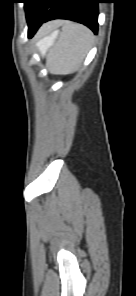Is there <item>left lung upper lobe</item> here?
Masks as SVG:
<instances>
[{
	"label": "left lung upper lobe",
	"instance_id": "1",
	"mask_svg": "<svg viewBox=\"0 0 136 296\" xmlns=\"http://www.w3.org/2000/svg\"><path fill=\"white\" fill-rule=\"evenodd\" d=\"M53 0H25L28 27L40 21L49 10Z\"/></svg>",
	"mask_w": 136,
	"mask_h": 296
}]
</instances>
